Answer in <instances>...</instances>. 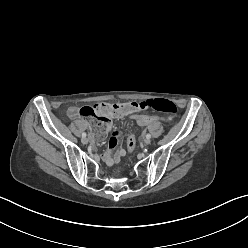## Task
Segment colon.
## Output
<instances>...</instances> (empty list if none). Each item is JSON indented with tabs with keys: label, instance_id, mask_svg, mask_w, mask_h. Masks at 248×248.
Here are the masks:
<instances>
[{
	"label": "colon",
	"instance_id": "5ec220e1",
	"mask_svg": "<svg viewBox=\"0 0 248 248\" xmlns=\"http://www.w3.org/2000/svg\"><path fill=\"white\" fill-rule=\"evenodd\" d=\"M156 110L167 113L169 116L161 115H143L142 113H131L129 120L136 123L138 127L146 129L147 126L153 124H161L162 121L167 123L176 115L178 109L176 104L168 99H151L142 102H127V103H102L95 106H84L79 110V114L83 118L91 119L92 134L96 141H103L110 132L109 124L111 118H118L124 116L128 111L137 110ZM128 151L133 152L135 149V136L129 134L127 138Z\"/></svg>",
	"mask_w": 248,
	"mask_h": 248
}]
</instances>
